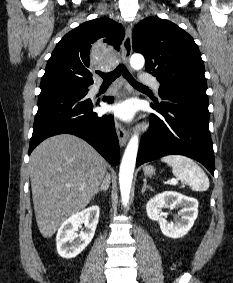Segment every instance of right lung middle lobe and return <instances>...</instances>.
<instances>
[{
    "instance_id": "right-lung-middle-lobe-1",
    "label": "right lung middle lobe",
    "mask_w": 233,
    "mask_h": 283,
    "mask_svg": "<svg viewBox=\"0 0 233 283\" xmlns=\"http://www.w3.org/2000/svg\"><path fill=\"white\" fill-rule=\"evenodd\" d=\"M40 88L41 92L48 90H64L76 93H86L88 87L64 80H50L41 82Z\"/></svg>"
}]
</instances>
